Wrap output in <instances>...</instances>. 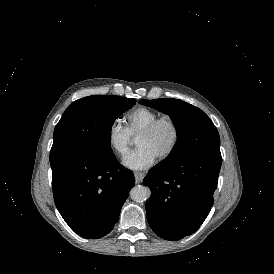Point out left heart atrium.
I'll return each instance as SVG.
<instances>
[{"label": "left heart atrium", "instance_id": "left-heart-atrium-1", "mask_svg": "<svg viewBox=\"0 0 274 274\" xmlns=\"http://www.w3.org/2000/svg\"><path fill=\"white\" fill-rule=\"evenodd\" d=\"M155 160V156L148 149L139 147L126 153L122 164L131 170H143L150 167Z\"/></svg>", "mask_w": 274, "mask_h": 274}]
</instances>
